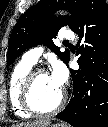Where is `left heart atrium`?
Here are the masks:
<instances>
[{
  "label": "left heart atrium",
  "mask_w": 108,
  "mask_h": 127,
  "mask_svg": "<svg viewBox=\"0 0 108 127\" xmlns=\"http://www.w3.org/2000/svg\"><path fill=\"white\" fill-rule=\"evenodd\" d=\"M50 76L53 82L61 89L67 81V71L62 65H56Z\"/></svg>",
  "instance_id": "left-heart-atrium-1"
}]
</instances>
